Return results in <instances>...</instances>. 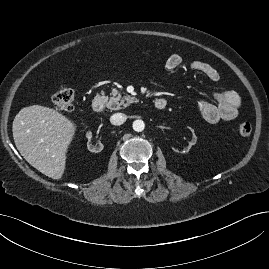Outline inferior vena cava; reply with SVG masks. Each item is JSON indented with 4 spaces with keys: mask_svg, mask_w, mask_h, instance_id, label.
I'll return each mask as SVG.
<instances>
[{
    "mask_svg": "<svg viewBox=\"0 0 269 269\" xmlns=\"http://www.w3.org/2000/svg\"><path fill=\"white\" fill-rule=\"evenodd\" d=\"M127 119V116L123 113H115L110 117V122L113 125H122Z\"/></svg>",
    "mask_w": 269,
    "mask_h": 269,
    "instance_id": "1",
    "label": "inferior vena cava"
}]
</instances>
